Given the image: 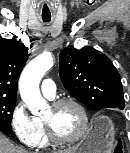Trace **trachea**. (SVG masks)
<instances>
[{"label": "trachea", "mask_w": 130, "mask_h": 153, "mask_svg": "<svg viewBox=\"0 0 130 153\" xmlns=\"http://www.w3.org/2000/svg\"><path fill=\"white\" fill-rule=\"evenodd\" d=\"M43 21H44V22H50V19H45V18H43Z\"/></svg>", "instance_id": "1"}]
</instances>
